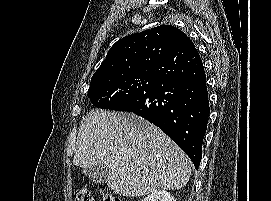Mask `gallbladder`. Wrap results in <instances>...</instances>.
<instances>
[{
	"mask_svg": "<svg viewBox=\"0 0 271 201\" xmlns=\"http://www.w3.org/2000/svg\"><path fill=\"white\" fill-rule=\"evenodd\" d=\"M83 173L92 182L97 184H104L107 182L109 169L104 163H100L98 165H94L90 168L84 169Z\"/></svg>",
	"mask_w": 271,
	"mask_h": 201,
	"instance_id": "1",
	"label": "gallbladder"
}]
</instances>
